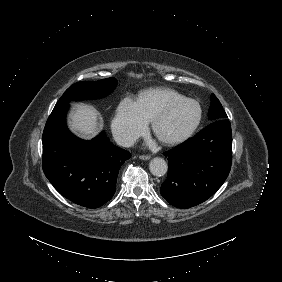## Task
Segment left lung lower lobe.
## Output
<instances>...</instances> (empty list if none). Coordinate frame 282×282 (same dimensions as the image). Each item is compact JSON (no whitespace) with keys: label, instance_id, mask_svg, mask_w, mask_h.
Returning <instances> with one entry per match:
<instances>
[{"label":"left lung lower lobe","instance_id":"left-lung-lower-lobe-1","mask_svg":"<svg viewBox=\"0 0 282 282\" xmlns=\"http://www.w3.org/2000/svg\"><path fill=\"white\" fill-rule=\"evenodd\" d=\"M165 156L169 167L161 195L177 208H190L206 201L221 187L231 168L229 120L212 121Z\"/></svg>","mask_w":282,"mask_h":282}]
</instances>
